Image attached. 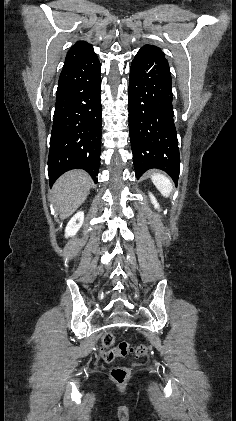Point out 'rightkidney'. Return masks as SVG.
<instances>
[{
	"mask_svg": "<svg viewBox=\"0 0 236 421\" xmlns=\"http://www.w3.org/2000/svg\"><path fill=\"white\" fill-rule=\"evenodd\" d=\"M84 223V213L80 211V213H76L72 219H70L66 229H65V237H73L78 233L79 229H81Z\"/></svg>",
	"mask_w": 236,
	"mask_h": 421,
	"instance_id": "right-kidney-1",
	"label": "right kidney"
}]
</instances>
